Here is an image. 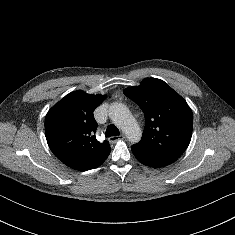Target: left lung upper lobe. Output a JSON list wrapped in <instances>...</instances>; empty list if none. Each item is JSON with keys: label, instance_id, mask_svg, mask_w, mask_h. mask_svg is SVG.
Here are the masks:
<instances>
[{"label": "left lung upper lobe", "instance_id": "1", "mask_svg": "<svg viewBox=\"0 0 235 235\" xmlns=\"http://www.w3.org/2000/svg\"><path fill=\"white\" fill-rule=\"evenodd\" d=\"M124 94L140 106L145 115L142 139L135 146L180 157L188 147L193 115L187 102L164 81L146 78Z\"/></svg>", "mask_w": 235, "mask_h": 235}]
</instances>
